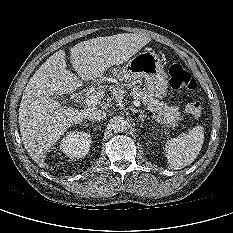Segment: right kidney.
<instances>
[{
  "mask_svg": "<svg viewBox=\"0 0 233 233\" xmlns=\"http://www.w3.org/2000/svg\"><path fill=\"white\" fill-rule=\"evenodd\" d=\"M90 144V134L83 131H72L61 140L60 149L70 158H82L89 152Z\"/></svg>",
  "mask_w": 233,
  "mask_h": 233,
  "instance_id": "1",
  "label": "right kidney"
}]
</instances>
